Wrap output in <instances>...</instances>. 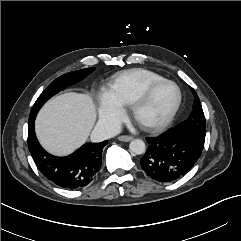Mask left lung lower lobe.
Returning a JSON list of instances; mask_svg holds the SVG:
<instances>
[{"label": "left lung lower lobe", "mask_w": 241, "mask_h": 241, "mask_svg": "<svg viewBox=\"0 0 241 241\" xmlns=\"http://www.w3.org/2000/svg\"><path fill=\"white\" fill-rule=\"evenodd\" d=\"M146 140L149 146L140 164L149 177L159 182H172L183 177L203 149L188 133L176 129Z\"/></svg>", "instance_id": "left-lung-lower-lobe-1"}]
</instances>
